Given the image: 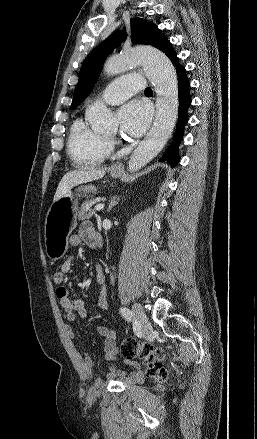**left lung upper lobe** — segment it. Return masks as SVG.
I'll list each match as a JSON object with an SVG mask.
<instances>
[{"mask_svg": "<svg viewBox=\"0 0 257 439\" xmlns=\"http://www.w3.org/2000/svg\"><path fill=\"white\" fill-rule=\"evenodd\" d=\"M125 38L126 33L117 30L88 54L79 72V81L74 90L70 110L79 106L91 93L106 57L114 48L119 47ZM131 41L134 44L152 45L163 52L170 45V41L152 22L140 17L131 19Z\"/></svg>", "mask_w": 257, "mask_h": 439, "instance_id": "1", "label": "left lung upper lobe"}]
</instances>
